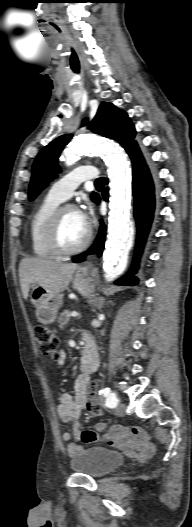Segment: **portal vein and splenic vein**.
Instances as JSON below:
<instances>
[{"label": "portal vein and splenic vein", "mask_w": 192, "mask_h": 527, "mask_svg": "<svg viewBox=\"0 0 192 527\" xmlns=\"http://www.w3.org/2000/svg\"><path fill=\"white\" fill-rule=\"evenodd\" d=\"M70 316H71V317H77V316H78V313H77V312H72V313L70 314Z\"/></svg>", "instance_id": "obj_1"}]
</instances>
